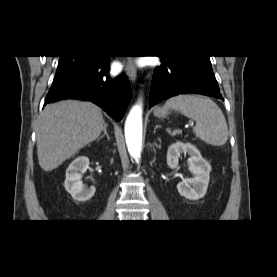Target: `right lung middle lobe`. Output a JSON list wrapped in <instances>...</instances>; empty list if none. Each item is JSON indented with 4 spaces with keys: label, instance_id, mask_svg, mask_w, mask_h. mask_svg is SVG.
<instances>
[{
    "label": "right lung middle lobe",
    "instance_id": "obj_1",
    "mask_svg": "<svg viewBox=\"0 0 277 277\" xmlns=\"http://www.w3.org/2000/svg\"><path fill=\"white\" fill-rule=\"evenodd\" d=\"M100 58L98 56H60L53 83L60 82L91 66Z\"/></svg>",
    "mask_w": 277,
    "mask_h": 277
}]
</instances>
